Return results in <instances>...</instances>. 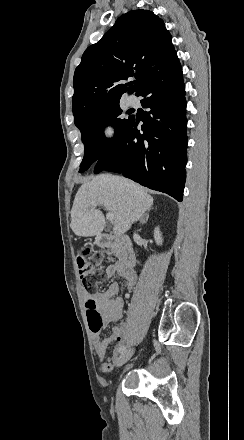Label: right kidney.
Here are the masks:
<instances>
[{"mask_svg": "<svg viewBox=\"0 0 244 440\" xmlns=\"http://www.w3.org/2000/svg\"><path fill=\"white\" fill-rule=\"evenodd\" d=\"M154 238H155L156 244H158V246H161L162 238H161V234H160L159 228H155V230H154Z\"/></svg>", "mask_w": 244, "mask_h": 440, "instance_id": "obj_1", "label": "right kidney"}]
</instances>
